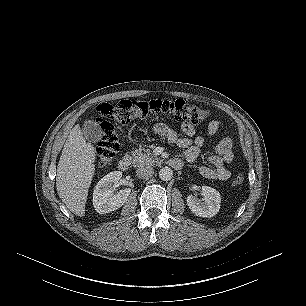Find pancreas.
Masks as SVG:
<instances>
[{
    "instance_id": "1",
    "label": "pancreas",
    "mask_w": 306,
    "mask_h": 306,
    "mask_svg": "<svg viewBox=\"0 0 306 306\" xmlns=\"http://www.w3.org/2000/svg\"><path fill=\"white\" fill-rule=\"evenodd\" d=\"M132 162L135 166L154 165L158 158L150 152V149L140 146L131 153Z\"/></svg>"
}]
</instances>
